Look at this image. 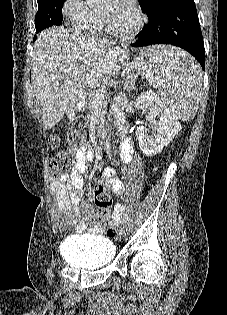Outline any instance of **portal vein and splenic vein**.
<instances>
[{
  "mask_svg": "<svg viewBox=\"0 0 227 315\" xmlns=\"http://www.w3.org/2000/svg\"><path fill=\"white\" fill-rule=\"evenodd\" d=\"M134 67H139V65H136V66H134ZM140 69L145 70V72H146L145 75H146V77L148 78V80H149V82H150L151 84H153L154 86H155V85H158V81H157L156 79H154V77H153L152 73L150 72V70L146 69V67H144V66H143L142 68H140ZM124 73H125V72H123V73L121 74V76H123ZM87 83H88L89 85H91V86L98 85V84H97V78H94V77H92V76H90L89 78H87ZM104 94H105V92H98V93L95 94V96H96L98 102H101L102 99H104Z\"/></svg>",
  "mask_w": 227,
  "mask_h": 315,
  "instance_id": "1",
  "label": "portal vein and splenic vein"
}]
</instances>
